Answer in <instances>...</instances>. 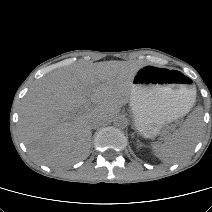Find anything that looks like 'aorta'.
Returning <instances> with one entry per match:
<instances>
[{
	"mask_svg": "<svg viewBox=\"0 0 212 212\" xmlns=\"http://www.w3.org/2000/svg\"><path fill=\"white\" fill-rule=\"evenodd\" d=\"M127 124V118L123 115H117L113 120V125L116 128H125Z\"/></svg>",
	"mask_w": 212,
	"mask_h": 212,
	"instance_id": "1",
	"label": "aorta"
}]
</instances>
